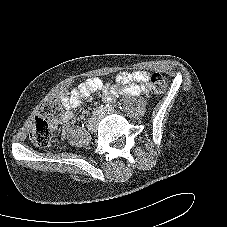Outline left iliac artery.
I'll return each mask as SVG.
<instances>
[{"label": "left iliac artery", "mask_w": 227, "mask_h": 227, "mask_svg": "<svg viewBox=\"0 0 227 227\" xmlns=\"http://www.w3.org/2000/svg\"><path fill=\"white\" fill-rule=\"evenodd\" d=\"M105 112H107L108 114H111V113L115 112V109L111 105H106L105 106Z\"/></svg>", "instance_id": "1"}]
</instances>
